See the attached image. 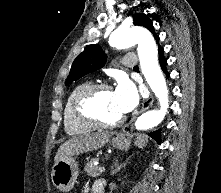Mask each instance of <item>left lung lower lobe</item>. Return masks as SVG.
Listing matches in <instances>:
<instances>
[{
    "instance_id": "obj_1",
    "label": "left lung lower lobe",
    "mask_w": 221,
    "mask_h": 193,
    "mask_svg": "<svg viewBox=\"0 0 221 193\" xmlns=\"http://www.w3.org/2000/svg\"><path fill=\"white\" fill-rule=\"evenodd\" d=\"M158 50H159V62H160L161 68L166 74V76L169 77V73L167 72V69H166L167 60L165 59L164 54H163L164 49L161 46H159ZM160 131L161 130L159 129L157 131L149 133V135L153 137L158 143H160Z\"/></svg>"
}]
</instances>
